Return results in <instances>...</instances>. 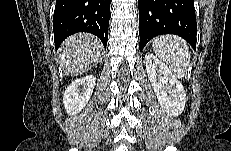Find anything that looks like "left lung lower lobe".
I'll use <instances>...</instances> for the list:
<instances>
[{"label":"left lung lower lobe","instance_id":"0a47b994","mask_svg":"<svg viewBox=\"0 0 231 151\" xmlns=\"http://www.w3.org/2000/svg\"><path fill=\"white\" fill-rule=\"evenodd\" d=\"M140 51L155 36L175 34L196 49L194 0H138Z\"/></svg>","mask_w":231,"mask_h":151}]
</instances>
